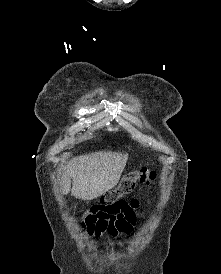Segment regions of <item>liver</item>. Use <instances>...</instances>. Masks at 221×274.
I'll return each instance as SVG.
<instances>
[{
  "mask_svg": "<svg viewBox=\"0 0 221 274\" xmlns=\"http://www.w3.org/2000/svg\"><path fill=\"white\" fill-rule=\"evenodd\" d=\"M127 157V154L100 151L73 158L62 168V192L71 191L74 197L84 201L100 197L117 185Z\"/></svg>",
  "mask_w": 221,
  "mask_h": 274,
  "instance_id": "6515ba94",
  "label": "liver"
}]
</instances>
